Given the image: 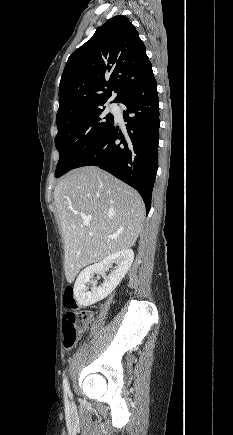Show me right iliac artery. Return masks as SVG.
Returning a JSON list of instances; mask_svg holds the SVG:
<instances>
[{
	"mask_svg": "<svg viewBox=\"0 0 233 435\" xmlns=\"http://www.w3.org/2000/svg\"><path fill=\"white\" fill-rule=\"evenodd\" d=\"M63 388H64V394H65L66 396H67V395L71 396V392H70L69 385H68V381H67V378H66V377H65L64 380H63Z\"/></svg>",
	"mask_w": 233,
	"mask_h": 435,
	"instance_id": "right-iliac-artery-1",
	"label": "right iliac artery"
}]
</instances>
